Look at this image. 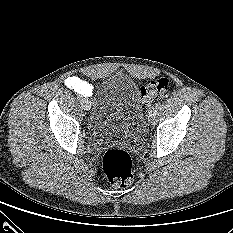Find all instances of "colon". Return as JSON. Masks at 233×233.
Wrapping results in <instances>:
<instances>
[{"label": "colon", "instance_id": "5ec220e1", "mask_svg": "<svg viewBox=\"0 0 233 233\" xmlns=\"http://www.w3.org/2000/svg\"><path fill=\"white\" fill-rule=\"evenodd\" d=\"M169 80L165 77L157 78L140 89V96L144 103L150 104L167 91ZM102 169L110 185L116 188L128 186L133 179V166L130 155L122 149H110L102 158Z\"/></svg>", "mask_w": 233, "mask_h": 233}]
</instances>
